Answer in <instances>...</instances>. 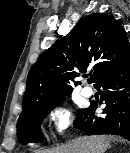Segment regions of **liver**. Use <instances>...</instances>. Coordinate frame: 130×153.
Returning <instances> with one entry per match:
<instances>
[{"label":"liver","mask_w":130,"mask_h":153,"mask_svg":"<svg viewBox=\"0 0 130 153\" xmlns=\"http://www.w3.org/2000/svg\"><path fill=\"white\" fill-rule=\"evenodd\" d=\"M110 146L109 136H81L71 142L41 153H104Z\"/></svg>","instance_id":"liver-1"}]
</instances>
